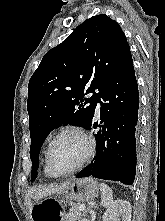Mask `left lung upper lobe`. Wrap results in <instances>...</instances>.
<instances>
[{
    "mask_svg": "<svg viewBox=\"0 0 165 221\" xmlns=\"http://www.w3.org/2000/svg\"><path fill=\"white\" fill-rule=\"evenodd\" d=\"M129 56L124 32L105 14L87 19L45 54L28 88L31 181L48 134L67 123L86 128L102 91ZM89 93L93 95L86 98Z\"/></svg>",
    "mask_w": 165,
    "mask_h": 221,
    "instance_id": "1",
    "label": "left lung upper lobe"
}]
</instances>
